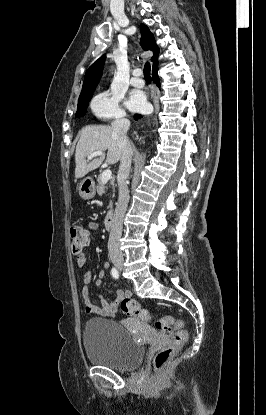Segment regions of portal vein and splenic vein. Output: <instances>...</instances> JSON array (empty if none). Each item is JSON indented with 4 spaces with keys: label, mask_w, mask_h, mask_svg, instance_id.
<instances>
[{
    "label": "portal vein and splenic vein",
    "mask_w": 266,
    "mask_h": 415,
    "mask_svg": "<svg viewBox=\"0 0 266 415\" xmlns=\"http://www.w3.org/2000/svg\"><path fill=\"white\" fill-rule=\"evenodd\" d=\"M103 155V151H95L87 156L88 160H91L92 158L96 156ZM112 172L110 169H106L101 174V180L104 184H106L111 179Z\"/></svg>",
    "instance_id": "obj_1"
}]
</instances>
